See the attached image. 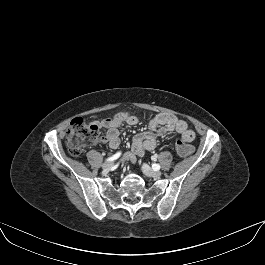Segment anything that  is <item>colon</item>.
<instances>
[{
    "label": "colon",
    "instance_id": "1",
    "mask_svg": "<svg viewBox=\"0 0 265 265\" xmlns=\"http://www.w3.org/2000/svg\"><path fill=\"white\" fill-rule=\"evenodd\" d=\"M99 136V129L94 124H87L81 118L71 121L66 138L68 151L73 156H79L86 147L94 144ZM176 149L179 155L192 154L193 147L186 142L178 141Z\"/></svg>",
    "mask_w": 265,
    "mask_h": 265
}]
</instances>
